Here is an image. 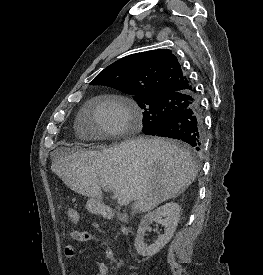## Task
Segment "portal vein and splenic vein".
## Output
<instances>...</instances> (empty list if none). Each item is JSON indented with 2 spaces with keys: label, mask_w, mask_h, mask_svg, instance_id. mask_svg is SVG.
Listing matches in <instances>:
<instances>
[{
  "label": "portal vein and splenic vein",
  "mask_w": 263,
  "mask_h": 275,
  "mask_svg": "<svg viewBox=\"0 0 263 275\" xmlns=\"http://www.w3.org/2000/svg\"><path fill=\"white\" fill-rule=\"evenodd\" d=\"M101 187L104 188L107 191H111L113 193V199H116L118 204L120 206H124L127 205L132 199L130 196L124 195L120 192H117L113 189H111L109 186H107V184L105 183H100Z\"/></svg>",
  "instance_id": "18ae733b"
}]
</instances>
